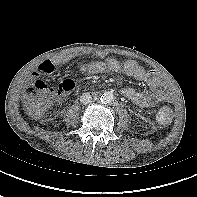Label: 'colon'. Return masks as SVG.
Segmentation results:
<instances>
[{
  "mask_svg": "<svg viewBox=\"0 0 197 197\" xmlns=\"http://www.w3.org/2000/svg\"><path fill=\"white\" fill-rule=\"evenodd\" d=\"M74 89V82L70 79L63 80L57 87L59 95H66ZM53 89L43 80L35 82L23 99L26 111L32 116H40L48 105V93ZM173 117V111L169 106H162L157 112V120L167 124Z\"/></svg>",
  "mask_w": 197,
  "mask_h": 197,
  "instance_id": "5ec220e1",
  "label": "colon"
}]
</instances>
